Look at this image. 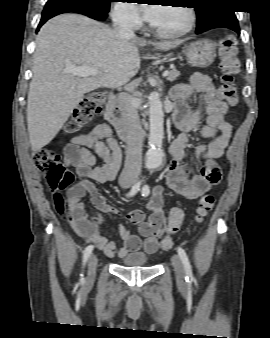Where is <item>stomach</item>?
<instances>
[{"mask_svg": "<svg viewBox=\"0 0 270 338\" xmlns=\"http://www.w3.org/2000/svg\"><path fill=\"white\" fill-rule=\"evenodd\" d=\"M186 57L191 66L200 68L209 67L216 57L215 45L207 39L194 41L187 47Z\"/></svg>", "mask_w": 270, "mask_h": 338, "instance_id": "obj_1", "label": "stomach"}]
</instances>
